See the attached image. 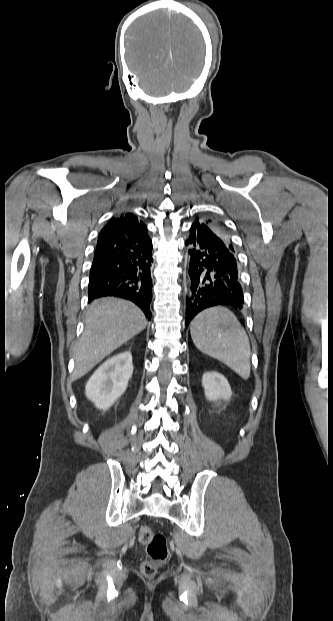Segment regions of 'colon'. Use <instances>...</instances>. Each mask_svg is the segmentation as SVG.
<instances>
[{"instance_id":"1","label":"colon","mask_w":333,"mask_h":621,"mask_svg":"<svg viewBox=\"0 0 333 621\" xmlns=\"http://www.w3.org/2000/svg\"><path fill=\"white\" fill-rule=\"evenodd\" d=\"M139 541L145 546L148 555V559L140 566L141 573L147 578H153L168 559L167 539L162 534L154 533L149 526H142Z\"/></svg>"}]
</instances>
